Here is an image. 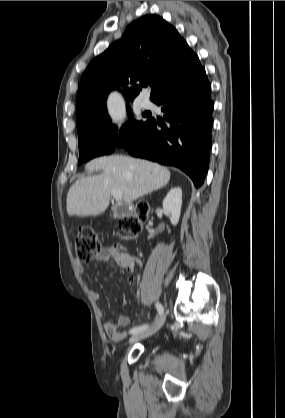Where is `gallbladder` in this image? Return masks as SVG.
<instances>
[{
    "instance_id": "obj_1",
    "label": "gallbladder",
    "mask_w": 285,
    "mask_h": 418,
    "mask_svg": "<svg viewBox=\"0 0 285 418\" xmlns=\"http://www.w3.org/2000/svg\"><path fill=\"white\" fill-rule=\"evenodd\" d=\"M125 209L126 205L117 206L113 211V216L116 218L122 216L124 214Z\"/></svg>"
}]
</instances>
